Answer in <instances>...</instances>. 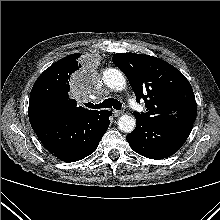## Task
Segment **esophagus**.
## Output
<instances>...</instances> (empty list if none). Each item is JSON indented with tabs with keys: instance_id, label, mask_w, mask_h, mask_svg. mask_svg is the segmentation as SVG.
Instances as JSON below:
<instances>
[{
	"instance_id": "obj_1",
	"label": "esophagus",
	"mask_w": 220,
	"mask_h": 220,
	"mask_svg": "<svg viewBox=\"0 0 220 220\" xmlns=\"http://www.w3.org/2000/svg\"><path fill=\"white\" fill-rule=\"evenodd\" d=\"M113 115L115 116V117H118V116H120L121 114H122V112L121 111H118V110H113Z\"/></svg>"
}]
</instances>
